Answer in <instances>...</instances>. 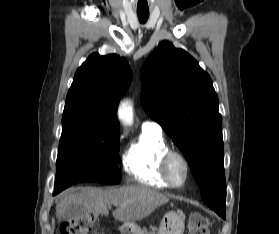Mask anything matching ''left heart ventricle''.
<instances>
[{
    "label": "left heart ventricle",
    "instance_id": "left-heart-ventricle-1",
    "mask_svg": "<svg viewBox=\"0 0 279 234\" xmlns=\"http://www.w3.org/2000/svg\"><path fill=\"white\" fill-rule=\"evenodd\" d=\"M170 174L176 183L182 182L185 176L184 166L178 159H174L170 166Z\"/></svg>",
    "mask_w": 279,
    "mask_h": 234
}]
</instances>
